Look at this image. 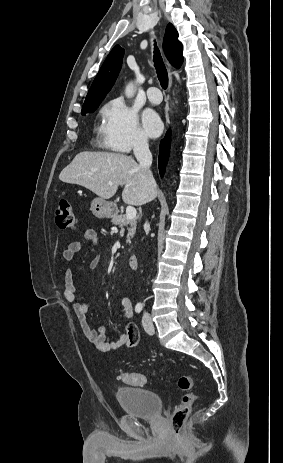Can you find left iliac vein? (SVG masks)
Wrapping results in <instances>:
<instances>
[{
    "instance_id": "obj_1",
    "label": "left iliac vein",
    "mask_w": 283,
    "mask_h": 463,
    "mask_svg": "<svg viewBox=\"0 0 283 463\" xmlns=\"http://www.w3.org/2000/svg\"><path fill=\"white\" fill-rule=\"evenodd\" d=\"M142 324L144 327V330L152 335L154 333V325L151 319V316L148 313H144L143 318H142Z\"/></svg>"
}]
</instances>
